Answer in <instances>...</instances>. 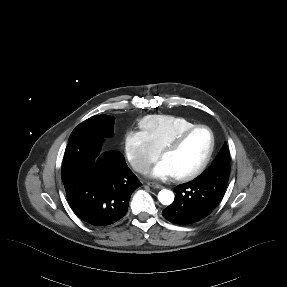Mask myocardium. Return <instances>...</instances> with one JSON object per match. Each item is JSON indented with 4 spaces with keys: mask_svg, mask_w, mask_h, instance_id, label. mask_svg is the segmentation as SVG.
Here are the masks:
<instances>
[{
    "mask_svg": "<svg viewBox=\"0 0 287 287\" xmlns=\"http://www.w3.org/2000/svg\"><path fill=\"white\" fill-rule=\"evenodd\" d=\"M199 129H204V130L208 131V133L210 135V147H209L208 153H207L206 157L204 158V160L202 161V163L193 171H191L187 174H184V175L172 176L173 180H175V181L185 182V181L193 180V179L197 178L199 175H201L205 171V169L208 167L209 163L212 160V157H213V154L215 151V144H216L215 135H214L212 129L209 126L203 125V124L194 125L188 129L182 131L181 133H179L160 152L159 157L162 159V157L164 155L177 150L193 132H195L196 130H199Z\"/></svg>",
    "mask_w": 287,
    "mask_h": 287,
    "instance_id": "obj_1",
    "label": "myocardium"
}]
</instances>
